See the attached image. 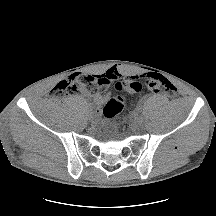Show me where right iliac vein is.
I'll return each instance as SVG.
<instances>
[{
    "label": "right iliac vein",
    "mask_w": 216,
    "mask_h": 216,
    "mask_svg": "<svg viewBox=\"0 0 216 216\" xmlns=\"http://www.w3.org/2000/svg\"><path fill=\"white\" fill-rule=\"evenodd\" d=\"M89 119H90L91 121H93V120H94L93 115H90V116H89Z\"/></svg>",
    "instance_id": "1"
}]
</instances>
